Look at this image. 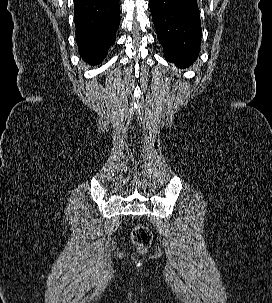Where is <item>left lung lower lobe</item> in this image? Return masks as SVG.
I'll return each instance as SVG.
<instances>
[{
	"instance_id": "left-lung-lower-lobe-1",
	"label": "left lung lower lobe",
	"mask_w": 272,
	"mask_h": 303,
	"mask_svg": "<svg viewBox=\"0 0 272 303\" xmlns=\"http://www.w3.org/2000/svg\"><path fill=\"white\" fill-rule=\"evenodd\" d=\"M149 7L166 60L180 68L190 66L202 36L197 0H149Z\"/></svg>"
}]
</instances>
